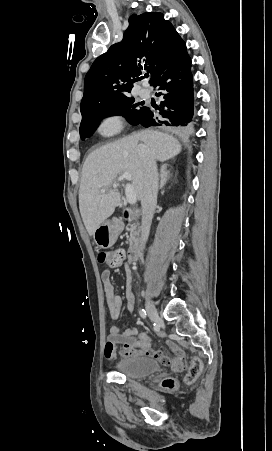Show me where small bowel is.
<instances>
[{"label": "small bowel", "instance_id": "obj_1", "mask_svg": "<svg viewBox=\"0 0 272 451\" xmlns=\"http://www.w3.org/2000/svg\"><path fill=\"white\" fill-rule=\"evenodd\" d=\"M101 280L103 283L105 300L113 320L119 318L122 308V298L115 292L112 283V275L109 269L101 272ZM126 301L127 310L132 311L134 308L135 297L131 290L130 277H127L126 283ZM173 341H166V345L171 352H175L176 356H184L183 350L178 346L176 351L171 349ZM157 352H163L160 349L152 347L151 339L146 333H138L135 328H127L121 330L117 326H112L107 334V341L104 347V355L107 359L113 360L118 353L123 358H133L137 356H152L157 360ZM181 352V353H180ZM160 362V361H159ZM161 363V362H160Z\"/></svg>", "mask_w": 272, "mask_h": 451}]
</instances>
